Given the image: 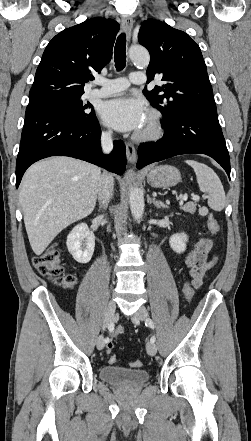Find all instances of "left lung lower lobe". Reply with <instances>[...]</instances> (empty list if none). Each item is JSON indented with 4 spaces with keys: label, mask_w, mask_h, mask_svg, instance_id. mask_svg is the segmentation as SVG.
<instances>
[{
    "label": "left lung lower lobe",
    "mask_w": 251,
    "mask_h": 441,
    "mask_svg": "<svg viewBox=\"0 0 251 441\" xmlns=\"http://www.w3.org/2000/svg\"><path fill=\"white\" fill-rule=\"evenodd\" d=\"M162 126L160 140L138 147V169L176 155L202 153L215 159L230 178L229 153L216 110L183 112Z\"/></svg>",
    "instance_id": "left-lung-lower-lobe-1"
}]
</instances>
